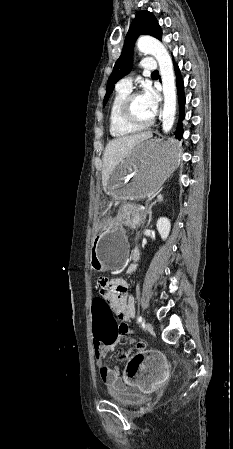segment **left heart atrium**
Returning <instances> with one entry per match:
<instances>
[{"label": "left heart atrium", "instance_id": "obj_1", "mask_svg": "<svg viewBox=\"0 0 233 449\" xmlns=\"http://www.w3.org/2000/svg\"><path fill=\"white\" fill-rule=\"evenodd\" d=\"M142 96L150 112L152 113V115H154L157 112L159 105V95L157 91L152 87H147L143 91Z\"/></svg>", "mask_w": 233, "mask_h": 449}]
</instances>
